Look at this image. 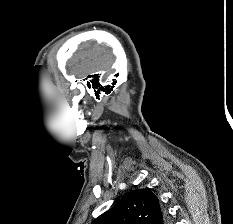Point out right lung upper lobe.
Listing matches in <instances>:
<instances>
[{
  "label": "right lung upper lobe",
  "instance_id": "obj_1",
  "mask_svg": "<svg viewBox=\"0 0 233 224\" xmlns=\"http://www.w3.org/2000/svg\"><path fill=\"white\" fill-rule=\"evenodd\" d=\"M164 209L149 189L132 191L92 224H168Z\"/></svg>",
  "mask_w": 233,
  "mask_h": 224
}]
</instances>
